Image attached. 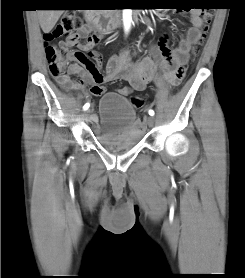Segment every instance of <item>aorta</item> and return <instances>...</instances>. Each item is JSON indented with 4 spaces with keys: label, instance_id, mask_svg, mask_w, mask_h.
Instances as JSON below:
<instances>
[{
    "label": "aorta",
    "instance_id": "obj_1",
    "mask_svg": "<svg viewBox=\"0 0 245 278\" xmlns=\"http://www.w3.org/2000/svg\"><path fill=\"white\" fill-rule=\"evenodd\" d=\"M131 16H132V10L131 9H124L123 10V24L125 31H129L131 26Z\"/></svg>",
    "mask_w": 245,
    "mask_h": 278
}]
</instances>
